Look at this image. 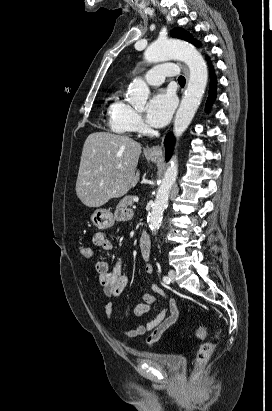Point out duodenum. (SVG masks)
Segmentation results:
<instances>
[{"label":"duodenum","instance_id":"obj_1","mask_svg":"<svg viewBox=\"0 0 272 411\" xmlns=\"http://www.w3.org/2000/svg\"><path fill=\"white\" fill-rule=\"evenodd\" d=\"M139 247L144 259L149 260L152 252L151 239L147 232L142 231L139 238Z\"/></svg>","mask_w":272,"mask_h":411}]
</instances>
